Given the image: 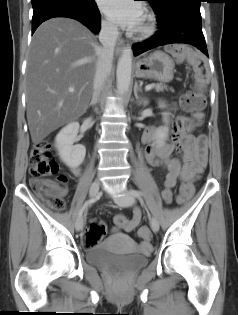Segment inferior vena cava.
<instances>
[{
  "label": "inferior vena cava",
  "instance_id": "1",
  "mask_svg": "<svg viewBox=\"0 0 238 315\" xmlns=\"http://www.w3.org/2000/svg\"><path fill=\"white\" fill-rule=\"evenodd\" d=\"M118 34L119 32L116 25L107 22L101 24L99 41L102 44V47L99 52L93 80V94L91 102L93 104L97 102V98L105 84V81L111 73L114 48Z\"/></svg>",
  "mask_w": 238,
  "mask_h": 315
}]
</instances>
